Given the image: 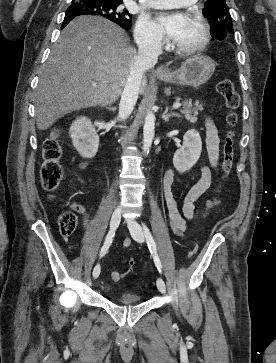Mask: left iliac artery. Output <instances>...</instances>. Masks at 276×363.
<instances>
[{"label":"left iliac artery","instance_id":"44dca946","mask_svg":"<svg viewBox=\"0 0 276 363\" xmlns=\"http://www.w3.org/2000/svg\"><path fill=\"white\" fill-rule=\"evenodd\" d=\"M143 225V229H144V232H145V237H146V240H147V244H148V248L153 256V259H154V262H155V265L157 267V269L159 270V272H161L162 270V265H161V262L159 260V257H158V254H157V251H156V244H155V241L153 239V236L151 234V232L149 231L148 227L145 225V224H142Z\"/></svg>","mask_w":276,"mask_h":363}]
</instances>
